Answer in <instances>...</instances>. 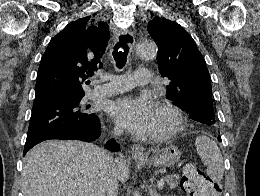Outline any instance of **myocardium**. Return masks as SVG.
I'll list each match as a JSON object with an SVG mask.
<instances>
[{
    "label": "myocardium",
    "instance_id": "1",
    "mask_svg": "<svg viewBox=\"0 0 260 196\" xmlns=\"http://www.w3.org/2000/svg\"><path fill=\"white\" fill-rule=\"evenodd\" d=\"M154 104L169 116V123L153 131L150 138L155 141L169 139L183 128L184 115L176 105L165 99H156Z\"/></svg>",
    "mask_w": 260,
    "mask_h": 196
}]
</instances>
